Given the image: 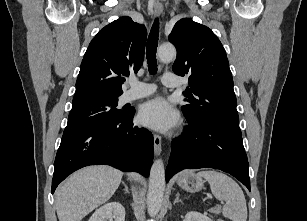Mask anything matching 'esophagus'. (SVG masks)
Listing matches in <instances>:
<instances>
[{
	"mask_svg": "<svg viewBox=\"0 0 307 221\" xmlns=\"http://www.w3.org/2000/svg\"><path fill=\"white\" fill-rule=\"evenodd\" d=\"M154 12L157 16H159L163 12L162 5H155ZM161 151H162L161 137L157 134H154V153L156 156H158L160 155Z\"/></svg>",
	"mask_w": 307,
	"mask_h": 221,
	"instance_id": "1",
	"label": "esophagus"
}]
</instances>
